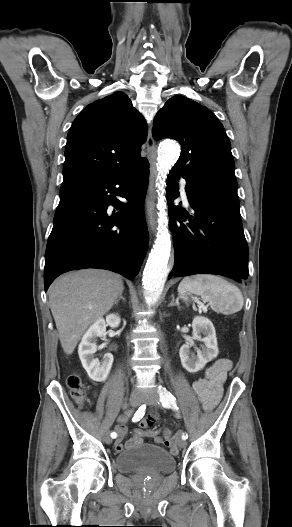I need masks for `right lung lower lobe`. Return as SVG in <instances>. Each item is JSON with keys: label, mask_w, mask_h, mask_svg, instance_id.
Returning <instances> with one entry per match:
<instances>
[{"label": "right lung lower lobe", "mask_w": 292, "mask_h": 527, "mask_svg": "<svg viewBox=\"0 0 292 527\" xmlns=\"http://www.w3.org/2000/svg\"><path fill=\"white\" fill-rule=\"evenodd\" d=\"M148 168L146 161L107 180L63 181L45 253V291L60 274L83 268L108 269L134 279L148 243L143 214ZM109 205L119 212L110 215Z\"/></svg>", "instance_id": "right-lung-lower-lobe-1"}]
</instances>
